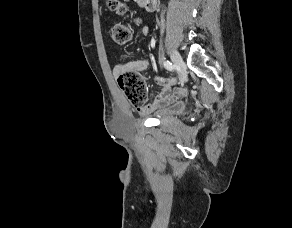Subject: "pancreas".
I'll return each instance as SVG.
<instances>
[{"mask_svg": "<svg viewBox=\"0 0 292 228\" xmlns=\"http://www.w3.org/2000/svg\"><path fill=\"white\" fill-rule=\"evenodd\" d=\"M135 1H137V2H141V1H143V0H135Z\"/></svg>", "mask_w": 292, "mask_h": 228, "instance_id": "cf45deb5", "label": "pancreas"}]
</instances>
